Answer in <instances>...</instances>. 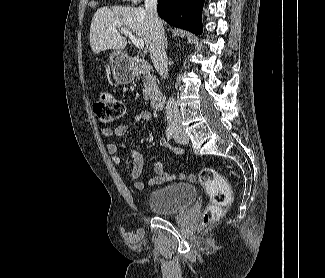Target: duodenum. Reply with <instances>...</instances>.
<instances>
[{
  "mask_svg": "<svg viewBox=\"0 0 325 278\" xmlns=\"http://www.w3.org/2000/svg\"><path fill=\"white\" fill-rule=\"evenodd\" d=\"M132 66L136 71L146 72L150 70V65L143 59L133 58ZM151 107L154 110H160L164 104V98L162 95H153L150 99Z\"/></svg>",
  "mask_w": 325,
  "mask_h": 278,
  "instance_id": "duodenum-1",
  "label": "duodenum"
}]
</instances>
